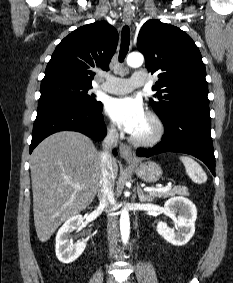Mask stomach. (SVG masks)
<instances>
[{
    "label": "stomach",
    "instance_id": "obj_1",
    "mask_svg": "<svg viewBox=\"0 0 233 283\" xmlns=\"http://www.w3.org/2000/svg\"><path fill=\"white\" fill-rule=\"evenodd\" d=\"M137 176L145 182H157L162 176L161 167L152 161L133 166Z\"/></svg>",
    "mask_w": 233,
    "mask_h": 283
}]
</instances>
